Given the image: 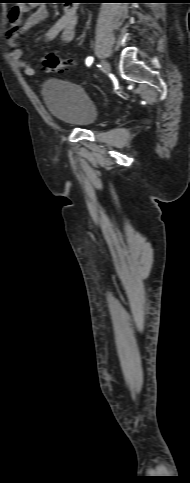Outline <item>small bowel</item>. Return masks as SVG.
<instances>
[{
    "label": "small bowel",
    "mask_w": 190,
    "mask_h": 483,
    "mask_svg": "<svg viewBox=\"0 0 190 483\" xmlns=\"http://www.w3.org/2000/svg\"><path fill=\"white\" fill-rule=\"evenodd\" d=\"M47 15L46 6H33L32 4L14 7L8 14L9 27L6 30V38L7 44L11 48L9 58L15 65L23 68L24 73L28 76L35 74V68L23 59V52L17 39L20 34L45 20ZM77 22V6L70 2L65 5L63 15L44 33V40L53 41L60 37L63 43H71L75 37Z\"/></svg>",
    "instance_id": "obj_1"
}]
</instances>
